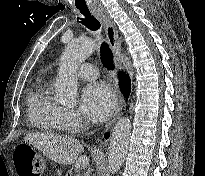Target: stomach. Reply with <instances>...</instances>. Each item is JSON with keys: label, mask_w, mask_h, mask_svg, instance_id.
Listing matches in <instances>:
<instances>
[{"label": "stomach", "mask_w": 205, "mask_h": 176, "mask_svg": "<svg viewBox=\"0 0 205 176\" xmlns=\"http://www.w3.org/2000/svg\"><path fill=\"white\" fill-rule=\"evenodd\" d=\"M26 145V144H25ZM27 147L26 148H29L30 150H32V151H35L34 149H33V147H31L30 145H26Z\"/></svg>", "instance_id": "0dacf381"}]
</instances>
